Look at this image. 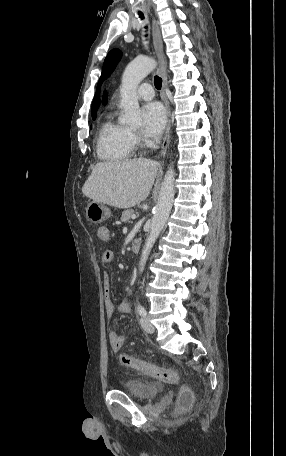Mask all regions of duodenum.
I'll use <instances>...</instances> for the list:
<instances>
[{
    "instance_id": "1",
    "label": "duodenum",
    "mask_w": 286,
    "mask_h": 456,
    "mask_svg": "<svg viewBox=\"0 0 286 456\" xmlns=\"http://www.w3.org/2000/svg\"><path fill=\"white\" fill-rule=\"evenodd\" d=\"M141 248V240L140 239H135L133 240L131 244V250L135 253L139 252Z\"/></svg>"
}]
</instances>
